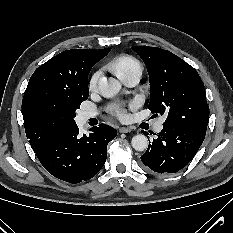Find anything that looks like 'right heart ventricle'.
<instances>
[{
	"label": "right heart ventricle",
	"mask_w": 233,
	"mask_h": 233,
	"mask_svg": "<svg viewBox=\"0 0 233 233\" xmlns=\"http://www.w3.org/2000/svg\"><path fill=\"white\" fill-rule=\"evenodd\" d=\"M118 78H121L123 75L139 69L141 70L140 63L134 57L130 55H119L112 59L108 65Z\"/></svg>",
	"instance_id": "obj_1"
}]
</instances>
